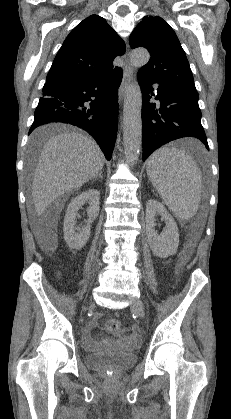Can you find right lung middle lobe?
<instances>
[{"label":"right lung middle lobe","instance_id":"1","mask_svg":"<svg viewBox=\"0 0 231 419\" xmlns=\"http://www.w3.org/2000/svg\"><path fill=\"white\" fill-rule=\"evenodd\" d=\"M40 144V141L38 142V140L33 141V147L36 148L38 147Z\"/></svg>","mask_w":231,"mask_h":419}]
</instances>
